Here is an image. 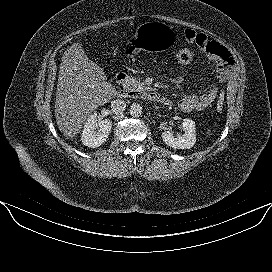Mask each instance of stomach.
<instances>
[{"label": "stomach", "instance_id": "0dacf381", "mask_svg": "<svg viewBox=\"0 0 272 272\" xmlns=\"http://www.w3.org/2000/svg\"><path fill=\"white\" fill-rule=\"evenodd\" d=\"M173 28L163 22L152 21L139 25L135 35L127 42L129 56L140 51L157 52L170 47L175 41Z\"/></svg>", "mask_w": 272, "mask_h": 272}]
</instances>
